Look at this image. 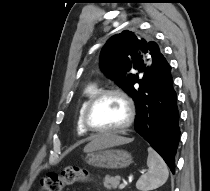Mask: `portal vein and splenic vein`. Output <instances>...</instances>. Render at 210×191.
<instances>
[{
	"label": "portal vein and splenic vein",
	"mask_w": 210,
	"mask_h": 191,
	"mask_svg": "<svg viewBox=\"0 0 210 191\" xmlns=\"http://www.w3.org/2000/svg\"><path fill=\"white\" fill-rule=\"evenodd\" d=\"M126 185H127V181H123V183L119 185V189L123 190L126 187Z\"/></svg>",
	"instance_id": "obj_1"
}]
</instances>
